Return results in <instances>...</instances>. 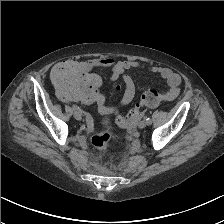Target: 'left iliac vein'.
Here are the masks:
<instances>
[{"instance_id":"4c4485c4","label":"left iliac vein","mask_w":224,"mask_h":224,"mask_svg":"<svg viewBox=\"0 0 224 224\" xmlns=\"http://www.w3.org/2000/svg\"><path fill=\"white\" fill-rule=\"evenodd\" d=\"M146 121L145 120H142V121H140L139 122V125H138V127L140 128V129H143V128H145L146 127Z\"/></svg>"}]
</instances>
